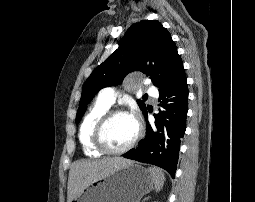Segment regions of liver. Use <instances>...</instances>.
<instances>
[{
  "instance_id": "1",
  "label": "liver",
  "mask_w": 255,
  "mask_h": 202,
  "mask_svg": "<svg viewBox=\"0 0 255 202\" xmlns=\"http://www.w3.org/2000/svg\"><path fill=\"white\" fill-rule=\"evenodd\" d=\"M130 164H132V161L122 157L76 161L69 171L67 202H71L78 197L94 181Z\"/></svg>"
}]
</instances>
